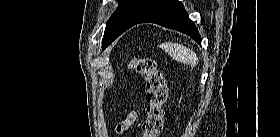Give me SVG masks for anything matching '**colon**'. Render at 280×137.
Returning a JSON list of instances; mask_svg holds the SVG:
<instances>
[{
  "label": "colon",
  "instance_id": "1",
  "mask_svg": "<svg viewBox=\"0 0 280 137\" xmlns=\"http://www.w3.org/2000/svg\"><path fill=\"white\" fill-rule=\"evenodd\" d=\"M129 65L146 79L147 107L143 122V137H158L162 130L163 110L167 97L164 74L151 58L133 57ZM128 128V125L121 122L116 126V133L122 135Z\"/></svg>",
  "mask_w": 280,
  "mask_h": 137
}]
</instances>
